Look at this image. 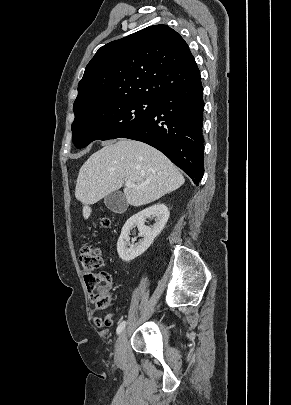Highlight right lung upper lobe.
Here are the masks:
<instances>
[{
	"label": "right lung upper lobe",
	"mask_w": 291,
	"mask_h": 405,
	"mask_svg": "<svg viewBox=\"0 0 291 405\" xmlns=\"http://www.w3.org/2000/svg\"><path fill=\"white\" fill-rule=\"evenodd\" d=\"M200 71L189 46L167 25H154L102 46L78 84L74 112L123 97L155 99Z\"/></svg>",
	"instance_id": "right-lung-upper-lobe-1"
}]
</instances>
